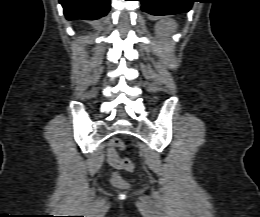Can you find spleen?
I'll return each instance as SVG.
<instances>
[{
  "instance_id": "3e777b00",
  "label": "spleen",
  "mask_w": 260,
  "mask_h": 217,
  "mask_svg": "<svg viewBox=\"0 0 260 217\" xmlns=\"http://www.w3.org/2000/svg\"><path fill=\"white\" fill-rule=\"evenodd\" d=\"M172 26V28H175V26L174 25H171Z\"/></svg>"
}]
</instances>
